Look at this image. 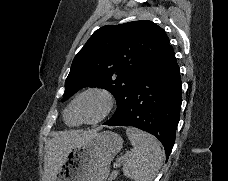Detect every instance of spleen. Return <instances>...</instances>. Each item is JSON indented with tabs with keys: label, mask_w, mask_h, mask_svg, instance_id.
I'll use <instances>...</instances> for the list:
<instances>
[{
	"label": "spleen",
	"mask_w": 228,
	"mask_h": 181,
	"mask_svg": "<svg viewBox=\"0 0 228 181\" xmlns=\"http://www.w3.org/2000/svg\"><path fill=\"white\" fill-rule=\"evenodd\" d=\"M126 135L133 151L123 165V173L131 181H153L163 165V151L153 135L127 127Z\"/></svg>",
	"instance_id": "spleen-1"
}]
</instances>
